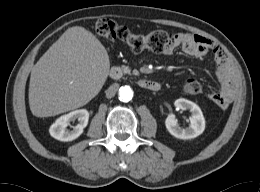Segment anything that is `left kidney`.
<instances>
[{
    "label": "left kidney",
    "instance_id": "left-kidney-1",
    "mask_svg": "<svg viewBox=\"0 0 260 192\" xmlns=\"http://www.w3.org/2000/svg\"><path fill=\"white\" fill-rule=\"evenodd\" d=\"M174 105L181 110L191 112L190 125L187 128H181L175 116L169 114L165 120L168 132L178 139H192L202 134L205 129V119L201 109L194 102L184 98L177 99Z\"/></svg>",
    "mask_w": 260,
    "mask_h": 192
}]
</instances>
